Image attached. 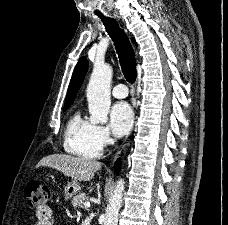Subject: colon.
Segmentation results:
<instances>
[{"label": "colon", "instance_id": "5ec220e1", "mask_svg": "<svg viewBox=\"0 0 228 225\" xmlns=\"http://www.w3.org/2000/svg\"><path fill=\"white\" fill-rule=\"evenodd\" d=\"M25 194L30 206L37 212L45 211V208H48L46 202L49 200V190L46 185L37 181L29 182Z\"/></svg>", "mask_w": 228, "mask_h": 225}]
</instances>
